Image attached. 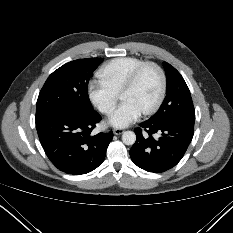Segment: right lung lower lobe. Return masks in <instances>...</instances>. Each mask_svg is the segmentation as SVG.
Here are the masks:
<instances>
[{"label": "right lung lower lobe", "mask_w": 233, "mask_h": 233, "mask_svg": "<svg viewBox=\"0 0 233 233\" xmlns=\"http://www.w3.org/2000/svg\"><path fill=\"white\" fill-rule=\"evenodd\" d=\"M101 116L86 113H50L36 118L40 143L50 161L68 174H86L103 162L113 133L92 135Z\"/></svg>", "instance_id": "98d812e1"}]
</instances>
